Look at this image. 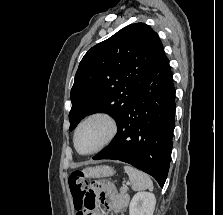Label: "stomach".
Masks as SVG:
<instances>
[{"instance_id":"stomach-1","label":"stomach","mask_w":223,"mask_h":215,"mask_svg":"<svg viewBox=\"0 0 223 215\" xmlns=\"http://www.w3.org/2000/svg\"><path fill=\"white\" fill-rule=\"evenodd\" d=\"M85 177H108V175H113L115 173L113 167L109 165H96V167H86L83 169Z\"/></svg>"}]
</instances>
